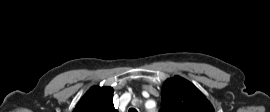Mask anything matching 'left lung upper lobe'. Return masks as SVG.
<instances>
[{
  "mask_svg": "<svg viewBox=\"0 0 270 112\" xmlns=\"http://www.w3.org/2000/svg\"><path fill=\"white\" fill-rule=\"evenodd\" d=\"M160 112H215L207 98L189 81L175 76L161 91Z\"/></svg>",
  "mask_w": 270,
  "mask_h": 112,
  "instance_id": "left-lung-upper-lobe-1",
  "label": "left lung upper lobe"
}]
</instances>
